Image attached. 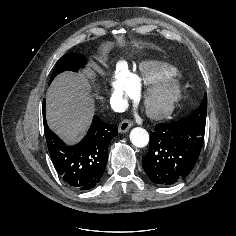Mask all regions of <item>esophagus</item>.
<instances>
[{"instance_id": "obj_1", "label": "esophagus", "mask_w": 236, "mask_h": 236, "mask_svg": "<svg viewBox=\"0 0 236 236\" xmlns=\"http://www.w3.org/2000/svg\"><path fill=\"white\" fill-rule=\"evenodd\" d=\"M133 126V123L129 120H123L120 124H119V132L120 133H125L127 132L131 127Z\"/></svg>"}]
</instances>
